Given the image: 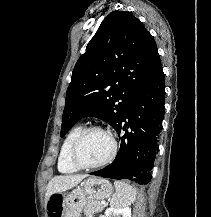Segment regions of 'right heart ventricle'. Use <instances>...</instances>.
I'll return each mask as SVG.
<instances>
[{
  "mask_svg": "<svg viewBox=\"0 0 211 217\" xmlns=\"http://www.w3.org/2000/svg\"><path fill=\"white\" fill-rule=\"evenodd\" d=\"M83 129L82 125L74 126L65 136L58 156L57 167L61 173L72 174L79 170L71 161L70 152L74 140Z\"/></svg>",
  "mask_w": 211,
  "mask_h": 217,
  "instance_id": "1",
  "label": "right heart ventricle"
}]
</instances>
